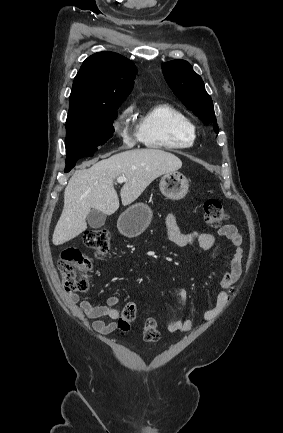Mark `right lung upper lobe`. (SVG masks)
Here are the masks:
<instances>
[{
	"label": "right lung upper lobe",
	"mask_w": 283,
	"mask_h": 433,
	"mask_svg": "<svg viewBox=\"0 0 283 433\" xmlns=\"http://www.w3.org/2000/svg\"><path fill=\"white\" fill-rule=\"evenodd\" d=\"M135 74L134 63L120 54L90 56L74 79L69 109L121 105L132 90Z\"/></svg>",
	"instance_id": "1"
}]
</instances>
